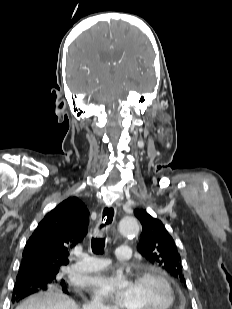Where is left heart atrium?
I'll return each mask as SVG.
<instances>
[{
  "instance_id": "39dd6f15",
  "label": "left heart atrium",
  "mask_w": 232,
  "mask_h": 309,
  "mask_svg": "<svg viewBox=\"0 0 232 309\" xmlns=\"http://www.w3.org/2000/svg\"><path fill=\"white\" fill-rule=\"evenodd\" d=\"M88 287L101 299L111 300L128 308L131 302L133 283L120 272H103L88 279Z\"/></svg>"
}]
</instances>
